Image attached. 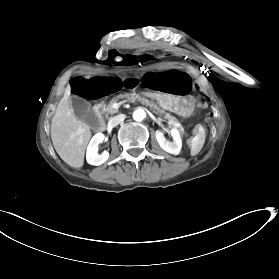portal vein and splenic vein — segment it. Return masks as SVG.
<instances>
[{
    "mask_svg": "<svg viewBox=\"0 0 279 279\" xmlns=\"http://www.w3.org/2000/svg\"><path fill=\"white\" fill-rule=\"evenodd\" d=\"M126 103H135V100H125V101L120 102L119 104L114 103V104L112 105V108H113L114 110H117L120 106H122V105H124V104H126Z\"/></svg>",
    "mask_w": 279,
    "mask_h": 279,
    "instance_id": "portal-vein-and-splenic-vein-1",
    "label": "portal vein and splenic vein"
}]
</instances>
